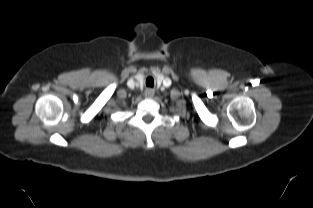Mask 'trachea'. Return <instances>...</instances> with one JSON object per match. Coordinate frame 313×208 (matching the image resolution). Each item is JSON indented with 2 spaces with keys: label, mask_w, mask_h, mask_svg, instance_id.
<instances>
[{
  "label": "trachea",
  "mask_w": 313,
  "mask_h": 208,
  "mask_svg": "<svg viewBox=\"0 0 313 208\" xmlns=\"http://www.w3.org/2000/svg\"><path fill=\"white\" fill-rule=\"evenodd\" d=\"M146 86H147V87H151V88L154 86V80H153L152 77H148V78L146 79Z\"/></svg>",
  "instance_id": "3493384b"
}]
</instances>
